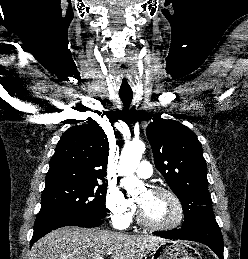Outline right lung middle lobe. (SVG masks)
<instances>
[{"instance_id":"right-lung-middle-lobe-1","label":"right lung middle lobe","mask_w":248,"mask_h":259,"mask_svg":"<svg viewBox=\"0 0 248 259\" xmlns=\"http://www.w3.org/2000/svg\"><path fill=\"white\" fill-rule=\"evenodd\" d=\"M106 184L98 181H61L47 183L42 192L40 212H63L87 220L106 216Z\"/></svg>"}]
</instances>
